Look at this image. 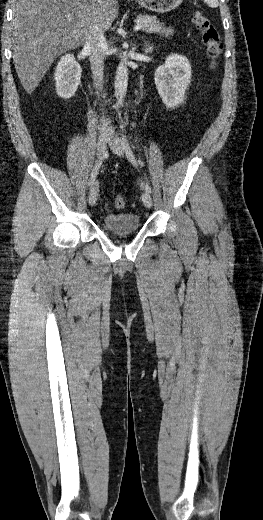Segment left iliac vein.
<instances>
[{
    "mask_svg": "<svg viewBox=\"0 0 263 520\" xmlns=\"http://www.w3.org/2000/svg\"><path fill=\"white\" fill-rule=\"evenodd\" d=\"M109 145L114 154L118 156H122L124 154L125 149L123 141L117 135H115L114 132L110 133ZM142 201L147 208L152 206V198L148 192H144L142 194Z\"/></svg>",
    "mask_w": 263,
    "mask_h": 520,
    "instance_id": "1",
    "label": "left iliac vein"
}]
</instances>
